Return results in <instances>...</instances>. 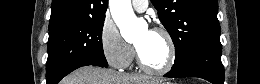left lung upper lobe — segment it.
<instances>
[{"instance_id":"1","label":"left lung upper lobe","mask_w":260,"mask_h":84,"mask_svg":"<svg viewBox=\"0 0 260 84\" xmlns=\"http://www.w3.org/2000/svg\"><path fill=\"white\" fill-rule=\"evenodd\" d=\"M175 46L179 66L193 51L220 43L217 0H151Z\"/></svg>"}]
</instances>
